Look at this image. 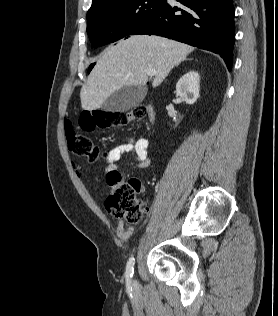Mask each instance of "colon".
I'll list each match as a JSON object with an SVG mask.
<instances>
[{"label":"colon","instance_id":"5ec220e1","mask_svg":"<svg viewBox=\"0 0 278 316\" xmlns=\"http://www.w3.org/2000/svg\"><path fill=\"white\" fill-rule=\"evenodd\" d=\"M146 111L144 107H137L128 112L88 111L79 118V127L86 132L96 128L106 129L121 127L133 120L142 118ZM66 140L71 152L79 156L96 161L106 155L86 135L77 133L70 121L65 123ZM107 183L110 187L106 199V208L116 218H122L130 224L143 219L147 213L137 194L140 191V182L137 179L125 181L118 172L107 174Z\"/></svg>","mask_w":278,"mask_h":316}]
</instances>
